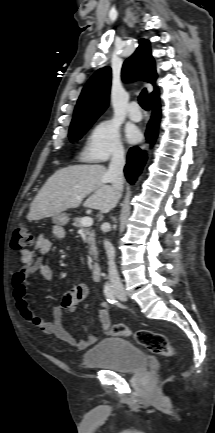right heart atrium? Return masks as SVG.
Returning <instances> with one entry per match:
<instances>
[{"mask_svg":"<svg viewBox=\"0 0 215 433\" xmlns=\"http://www.w3.org/2000/svg\"><path fill=\"white\" fill-rule=\"evenodd\" d=\"M124 153L118 124L112 119H104L96 123L90 130L82 158L89 162H104L117 158Z\"/></svg>","mask_w":215,"mask_h":433,"instance_id":"right-heart-atrium-1","label":"right heart atrium"}]
</instances>
